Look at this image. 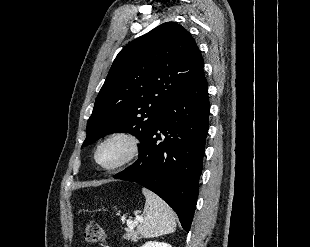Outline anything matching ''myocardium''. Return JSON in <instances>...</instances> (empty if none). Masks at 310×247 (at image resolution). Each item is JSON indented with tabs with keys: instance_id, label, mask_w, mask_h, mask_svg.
Segmentation results:
<instances>
[{
	"instance_id": "myocardium-1",
	"label": "myocardium",
	"mask_w": 310,
	"mask_h": 247,
	"mask_svg": "<svg viewBox=\"0 0 310 247\" xmlns=\"http://www.w3.org/2000/svg\"><path fill=\"white\" fill-rule=\"evenodd\" d=\"M116 140L123 141L126 144L127 152L125 156L120 161L116 162L113 165H109V166L103 165L102 163H100L98 159V154H99L100 149L106 143L111 142V141H116ZM140 152H141V141H140L139 136L132 131L120 130V131H116L108 135L97 145L95 152H94V160L96 164L100 166L102 169L106 171H115V170H119L133 163L140 155Z\"/></svg>"
}]
</instances>
